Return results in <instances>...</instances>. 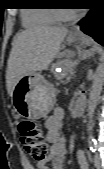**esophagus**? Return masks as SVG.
Segmentation results:
<instances>
[{
  "mask_svg": "<svg viewBox=\"0 0 104 169\" xmlns=\"http://www.w3.org/2000/svg\"><path fill=\"white\" fill-rule=\"evenodd\" d=\"M70 34L73 35V36H78V35L80 34L79 27H78V26L74 27V28L71 30Z\"/></svg>",
  "mask_w": 104,
  "mask_h": 169,
  "instance_id": "obj_1",
  "label": "esophagus"
}]
</instances>
